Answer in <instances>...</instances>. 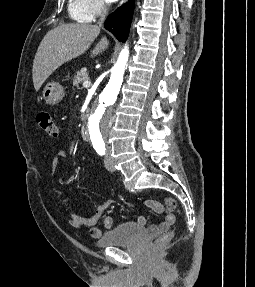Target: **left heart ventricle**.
Returning <instances> with one entry per match:
<instances>
[{"label": "left heart ventricle", "instance_id": "1", "mask_svg": "<svg viewBox=\"0 0 255 287\" xmlns=\"http://www.w3.org/2000/svg\"><path fill=\"white\" fill-rule=\"evenodd\" d=\"M92 39H98V38H92ZM89 48H97V47H89Z\"/></svg>", "mask_w": 255, "mask_h": 287}]
</instances>
